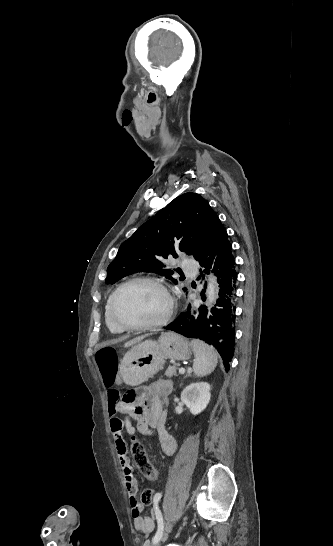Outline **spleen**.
Returning a JSON list of instances; mask_svg holds the SVG:
<instances>
[{
    "label": "spleen",
    "instance_id": "obj_1",
    "mask_svg": "<svg viewBox=\"0 0 333 546\" xmlns=\"http://www.w3.org/2000/svg\"><path fill=\"white\" fill-rule=\"evenodd\" d=\"M191 347L195 354L193 363L195 375L203 377L211 374L218 362V356L214 348L198 339L191 341Z\"/></svg>",
    "mask_w": 333,
    "mask_h": 546
}]
</instances>
